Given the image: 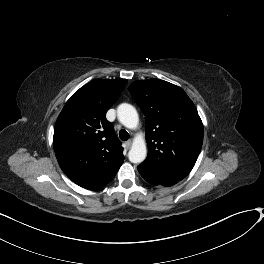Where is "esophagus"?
<instances>
[{"instance_id":"esophagus-1","label":"esophagus","mask_w":264,"mask_h":264,"mask_svg":"<svg viewBox=\"0 0 264 264\" xmlns=\"http://www.w3.org/2000/svg\"><path fill=\"white\" fill-rule=\"evenodd\" d=\"M126 145H127V147L128 148H130L131 147V145H132V140L130 139V140H128L127 142H126Z\"/></svg>"}]
</instances>
